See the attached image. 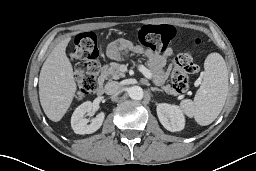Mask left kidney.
<instances>
[{
    "label": "left kidney",
    "instance_id": "obj_1",
    "mask_svg": "<svg viewBox=\"0 0 256 171\" xmlns=\"http://www.w3.org/2000/svg\"><path fill=\"white\" fill-rule=\"evenodd\" d=\"M157 115L159 121L167 130L179 132L184 129L185 117L178 106L167 103L158 104Z\"/></svg>",
    "mask_w": 256,
    "mask_h": 171
}]
</instances>
